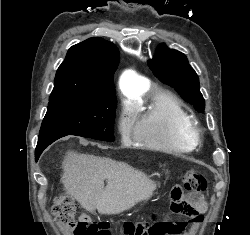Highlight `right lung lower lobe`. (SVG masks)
I'll return each instance as SVG.
<instances>
[{"label":"right lung lower lobe","instance_id":"obj_1","mask_svg":"<svg viewBox=\"0 0 250 235\" xmlns=\"http://www.w3.org/2000/svg\"><path fill=\"white\" fill-rule=\"evenodd\" d=\"M66 136L65 134H52L47 135L42 138H38V143L35 151V160L37 161L42 151L49 146L51 143L56 141L57 139Z\"/></svg>","mask_w":250,"mask_h":235}]
</instances>
